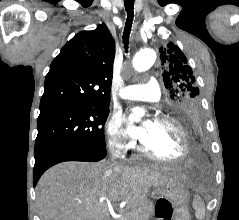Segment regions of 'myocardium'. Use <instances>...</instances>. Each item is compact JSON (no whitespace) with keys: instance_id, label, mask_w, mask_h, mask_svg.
Listing matches in <instances>:
<instances>
[{"instance_id":"myocardium-1","label":"myocardium","mask_w":239,"mask_h":220,"mask_svg":"<svg viewBox=\"0 0 239 220\" xmlns=\"http://www.w3.org/2000/svg\"><path fill=\"white\" fill-rule=\"evenodd\" d=\"M154 121L172 124L179 130L182 137V143H183L182 152L176 158H164V157L153 154L144 146L143 143H141L139 146L140 153L151 160L162 162V163L173 164V163H178L183 161L189 155V152H190L189 138H188V134L185 127L176 118L169 115H165V114L156 115L154 117Z\"/></svg>"}]
</instances>
